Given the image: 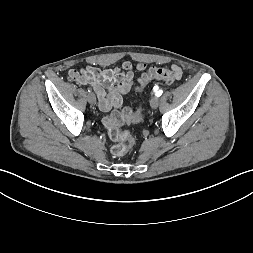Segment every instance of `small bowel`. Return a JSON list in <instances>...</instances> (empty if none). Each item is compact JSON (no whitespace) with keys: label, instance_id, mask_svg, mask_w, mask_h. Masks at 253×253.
Listing matches in <instances>:
<instances>
[{"label":"small bowel","instance_id":"1","mask_svg":"<svg viewBox=\"0 0 253 253\" xmlns=\"http://www.w3.org/2000/svg\"><path fill=\"white\" fill-rule=\"evenodd\" d=\"M146 67L145 63H138L134 69L129 61L103 70L94 65H88L81 71L70 70L68 76L79 84L91 86L99 98L100 110L108 112L122 105L124 97L133 87L135 72H144Z\"/></svg>","mask_w":253,"mask_h":253}]
</instances>
